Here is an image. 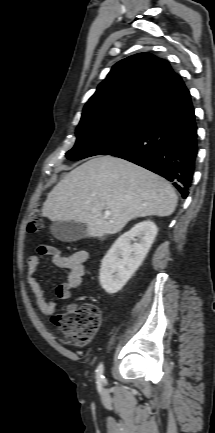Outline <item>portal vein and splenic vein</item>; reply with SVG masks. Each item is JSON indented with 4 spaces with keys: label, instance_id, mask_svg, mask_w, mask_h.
<instances>
[{
    "label": "portal vein and splenic vein",
    "instance_id": "portal-vein-and-splenic-vein-1",
    "mask_svg": "<svg viewBox=\"0 0 215 433\" xmlns=\"http://www.w3.org/2000/svg\"><path fill=\"white\" fill-rule=\"evenodd\" d=\"M104 215L107 218V217H109L111 215V213H110V211L107 210V211L104 212Z\"/></svg>",
    "mask_w": 215,
    "mask_h": 433
}]
</instances>
